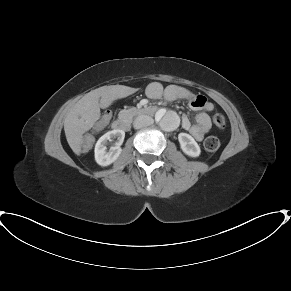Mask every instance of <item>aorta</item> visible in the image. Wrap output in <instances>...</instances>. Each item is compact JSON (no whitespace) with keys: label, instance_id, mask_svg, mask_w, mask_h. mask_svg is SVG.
Here are the masks:
<instances>
[{"label":"aorta","instance_id":"aorta-1","mask_svg":"<svg viewBox=\"0 0 291 291\" xmlns=\"http://www.w3.org/2000/svg\"><path fill=\"white\" fill-rule=\"evenodd\" d=\"M157 119L160 127L165 131H173L179 126L178 116L173 112L158 114Z\"/></svg>","mask_w":291,"mask_h":291}]
</instances>
